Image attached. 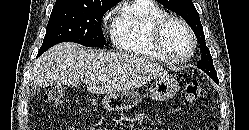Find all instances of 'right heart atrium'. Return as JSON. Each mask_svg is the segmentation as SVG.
<instances>
[{
    "instance_id": "1",
    "label": "right heart atrium",
    "mask_w": 249,
    "mask_h": 130,
    "mask_svg": "<svg viewBox=\"0 0 249 130\" xmlns=\"http://www.w3.org/2000/svg\"><path fill=\"white\" fill-rule=\"evenodd\" d=\"M111 15V12L107 13V15L105 16L104 20H107Z\"/></svg>"
}]
</instances>
